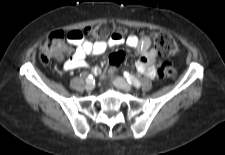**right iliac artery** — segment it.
Wrapping results in <instances>:
<instances>
[{
	"mask_svg": "<svg viewBox=\"0 0 225 155\" xmlns=\"http://www.w3.org/2000/svg\"><path fill=\"white\" fill-rule=\"evenodd\" d=\"M93 81V76L92 75H89L87 78H86V82H92Z\"/></svg>",
	"mask_w": 225,
	"mask_h": 155,
	"instance_id": "obj_1",
	"label": "right iliac artery"
}]
</instances>
